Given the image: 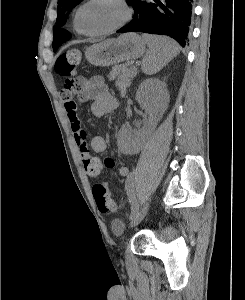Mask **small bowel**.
Masks as SVG:
<instances>
[{
    "instance_id": "c3829d8e",
    "label": "small bowel",
    "mask_w": 245,
    "mask_h": 300,
    "mask_svg": "<svg viewBox=\"0 0 245 300\" xmlns=\"http://www.w3.org/2000/svg\"><path fill=\"white\" fill-rule=\"evenodd\" d=\"M82 89L80 96L82 101H91V112L96 117H103L116 107V100L112 95L108 85L101 76H94L90 79L81 80ZM63 106L70 122L71 130L74 135L75 143L79 149L84 168L88 175L98 176L102 169L114 168L115 161L111 157H105L103 161L95 157L94 153H104L107 149V141L102 136H94L87 143L86 132L82 127L78 115L75 101L71 97H62ZM119 176L129 175V168L121 165L117 168ZM94 190H108L109 184L106 181H96L93 184Z\"/></svg>"
}]
</instances>
